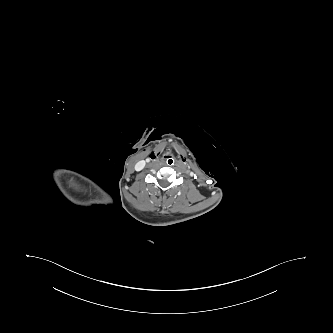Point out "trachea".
<instances>
[{
	"label": "trachea",
	"mask_w": 333,
	"mask_h": 333,
	"mask_svg": "<svg viewBox=\"0 0 333 333\" xmlns=\"http://www.w3.org/2000/svg\"><path fill=\"white\" fill-rule=\"evenodd\" d=\"M164 162H165V164L168 165V166H173V165H175L176 162H177V157H176V155L173 154V153H168V154H166L165 157H164Z\"/></svg>",
	"instance_id": "3493384b"
}]
</instances>
